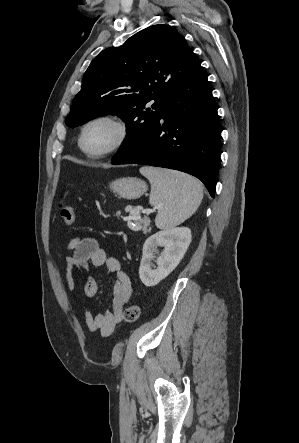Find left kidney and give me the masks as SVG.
Masks as SVG:
<instances>
[{"label":"left kidney","instance_id":"obj_1","mask_svg":"<svg viewBox=\"0 0 299 443\" xmlns=\"http://www.w3.org/2000/svg\"><path fill=\"white\" fill-rule=\"evenodd\" d=\"M191 243V230L187 227L165 229L151 235L143 245V256L139 277L147 286H155L166 278L180 263ZM158 247H164L156 259L157 267L151 263Z\"/></svg>","mask_w":299,"mask_h":443}]
</instances>
